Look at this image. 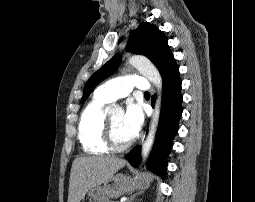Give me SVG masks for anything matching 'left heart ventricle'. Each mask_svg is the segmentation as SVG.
I'll list each match as a JSON object with an SVG mask.
<instances>
[{"instance_id":"obj_1","label":"left heart ventricle","mask_w":255,"mask_h":202,"mask_svg":"<svg viewBox=\"0 0 255 202\" xmlns=\"http://www.w3.org/2000/svg\"><path fill=\"white\" fill-rule=\"evenodd\" d=\"M112 124H113V130H114V136L115 139L119 143H125L133 138V136L130 134V132L127 130L125 124H124V113L123 112H116L110 115Z\"/></svg>"}]
</instances>
